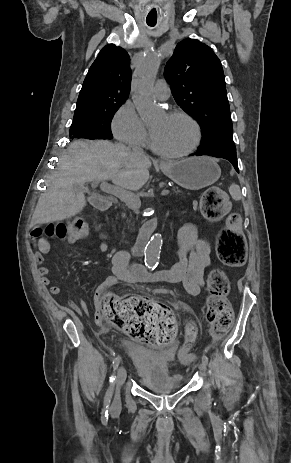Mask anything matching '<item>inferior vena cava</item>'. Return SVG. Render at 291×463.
<instances>
[{
	"label": "inferior vena cava",
	"instance_id": "1",
	"mask_svg": "<svg viewBox=\"0 0 291 463\" xmlns=\"http://www.w3.org/2000/svg\"><path fill=\"white\" fill-rule=\"evenodd\" d=\"M133 150H134L135 152H137V153H142V152H143V150H142L141 148H139V147H136V148H134Z\"/></svg>",
	"mask_w": 291,
	"mask_h": 463
}]
</instances>
